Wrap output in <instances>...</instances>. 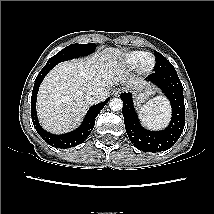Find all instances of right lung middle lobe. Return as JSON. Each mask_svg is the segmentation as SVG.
Masks as SVG:
<instances>
[{"instance_id":"1","label":"right lung middle lobe","mask_w":214,"mask_h":214,"mask_svg":"<svg viewBox=\"0 0 214 214\" xmlns=\"http://www.w3.org/2000/svg\"><path fill=\"white\" fill-rule=\"evenodd\" d=\"M96 49V44H71L51 57L47 64L57 65L62 61H66L79 56H86L93 53Z\"/></svg>"}]
</instances>
